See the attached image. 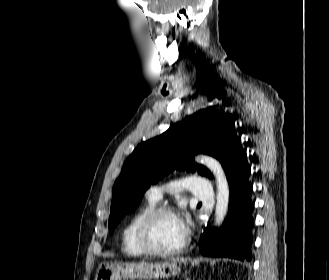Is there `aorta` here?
<instances>
[{"label":"aorta","mask_w":329,"mask_h":280,"mask_svg":"<svg viewBox=\"0 0 329 280\" xmlns=\"http://www.w3.org/2000/svg\"><path fill=\"white\" fill-rule=\"evenodd\" d=\"M199 161L207 166L216 178L217 202L215 207V224L216 226H220L228 210L230 196L228 181L221 164L216 159L201 156Z\"/></svg>","instance_id":"obj_1"}]
</instances>
